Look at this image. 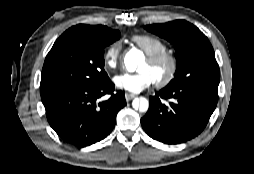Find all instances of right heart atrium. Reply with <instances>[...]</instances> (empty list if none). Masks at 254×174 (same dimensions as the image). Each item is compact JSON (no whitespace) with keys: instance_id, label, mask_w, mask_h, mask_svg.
<instances>
[{"instance_id":"right-heart-atrium-1","label":"right heart atrium","mask_w":254,"mask_h":174,"mask_svg":"<svg viewBox=\"0 0 254 174\" xmlns=\"http://www.w3.org/2000/svg\"><path fill=\"white\" fill-rule=\"evenodd\" d=\"M121 57V44L111 43L103 53V62L106 67L114 69L118 66Z\"/></svg>"}]
</instances>
